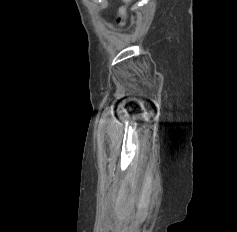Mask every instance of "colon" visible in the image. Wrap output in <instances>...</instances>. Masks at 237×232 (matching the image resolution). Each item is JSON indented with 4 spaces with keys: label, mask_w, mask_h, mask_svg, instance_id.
I'll return each mask as SVG.
<instances>
[{
    "label": "colon",
    "mask_w": 237,
    "mask_h": 232,
    "mask_svg": "<svg viewBox=\"0 0 237 232\" xmlns=\"http://www.w3.org/2000/svg\"><path fill=\"white\" fill-rule=\"evenodd\" d=\"M131 0H124L125 3H129ZM125 17V10L121 9L120 11V16H119V20L122 21Z\"/></svg>",
    "instance_id": "colon-1"
}]
</instances>
